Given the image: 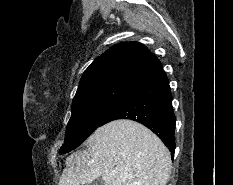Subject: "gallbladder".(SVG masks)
<instances>
[{"label": "gallbladder", "mask_w": 233, "mask_h": 185, "mask_svg": "<svg viewBox=\"0 0 233 185\" xmlns=\"http://www.w3.org/2000/svg\"><path fill=\"white\" fill-rule=\"evenodd\" d=\"M89 185H104V184H103V180L101 178H98V179L92 181Z\"/></svg>", "instance_id": "bac80fb5"}]
</instances>
